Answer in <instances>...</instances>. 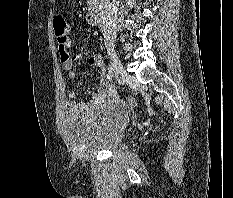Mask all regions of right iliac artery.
Listing matches in <instances>:
<instances>
[{"mask_svg":"<svg viewBox=\"0 0 233 198\" xmlns=\"http://www.w3.org/2000/svg\"><path fill=\"white\" fill-rule=\"evenodd\" d=\"M113 77H114V75H113V73H112V67H110V71H109V73L107 74V78H108L109 80H112Z\"/></svg>","mask_w":233,"mask_h":198,"instance_id":"82829eb1","label":"right iliac artery"}]
</instances>
